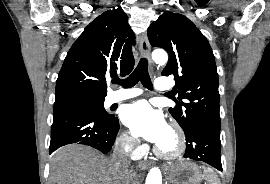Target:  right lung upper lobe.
<instances>
[{
  "label": "right lung upper lobe",
  "mask_w": 270,
  "mask_h": 184,
  "mask_svg": "<svg viewBox=\"0 0 270 184\" xmlns=\"http://www.w3.org/2000/svg\"><path fill=\"white\" fill-rule=\"evenodd\" d=\"M122 9L94 19L74 42L56 81V98L68 95L105 97L106 78L128 75L134 67V33Z\"/></svg>",
  "instance_id": "cb5924a9"
}]
</instances>
